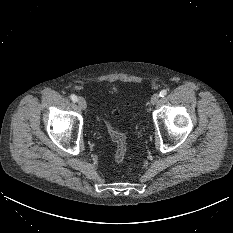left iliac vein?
Returning a JSON list of instances; mask_svg holds the SVG:
<instances>
[{"label": "left iliac vein", "instance_id": "4c4485c4", "mask_svg": "<svg viewBox=\"0 0 233 233\" xmlns=\"http://www.w3.org/2000/svg\"><path fill=\"white\" fill-rule=\"evenodd\" d=\"M159 98L160 96L158 93L153 94L151 97V104L152 105L156 104L159 101Z\"/></svg>", "mask_w": 233, "mask_h": 233}]
</instances>
